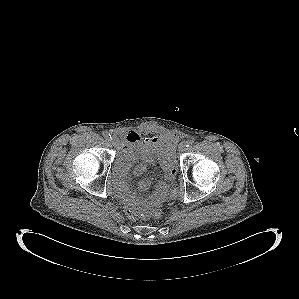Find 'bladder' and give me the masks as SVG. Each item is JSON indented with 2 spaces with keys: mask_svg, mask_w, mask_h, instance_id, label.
<instances>
[{
  "mask_svg": "<svg viewBox=\"0 0 299 299\" xmlns=\"http://www.w3.org/2000/svg\"><path fill=\"white\" fill-rule=\"evenodd\" d=\"M168 152H169L170 154H172L173 157H174V145H173L172 148H169V149H168Z\"/></svg>",
  "mask_w": 299,
  "mask_h": 299,
  "instance_id": "bladder-1",
  "label": "bladder"
}]
</instances>
